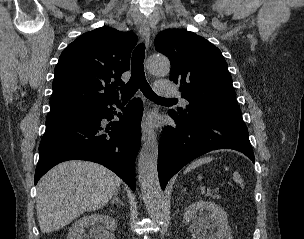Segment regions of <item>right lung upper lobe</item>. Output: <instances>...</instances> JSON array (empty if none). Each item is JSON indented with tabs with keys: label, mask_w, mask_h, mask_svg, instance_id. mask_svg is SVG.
<instances>
[{
	"label": "right lung upper lobe",
	"mask_w": 304,
	"mask_h": 239,
	"mask_svg": "<svg viewBox=\"0 0 304 239\" xmlns=\"http://www.w3.org/2000/svg\"><path fill=\"white\" fill-rule=\"evenodd\" d=\"M133 32L101 27L84 33L62 52L54 71L46 121L71 118L118 98L123 72L137 42Z\"/></svg>",
	"instance_id": "1"
}]
</instances>
